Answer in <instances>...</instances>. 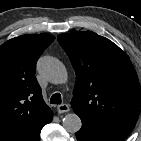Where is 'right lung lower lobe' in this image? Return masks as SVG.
Wrapping results in <instances>:
<instances>
[{"label":"right lung lower lobe","mask_w":141,"mask_h":141,"mask_svg":"<svg viewBox=\"0 0 141 141\" xmlns=\"http://www.w3.org/2000/svg\"><path fill=\"white\" fill-rule=\"evenodd\" d=\"M35 141H40V137L38 139H36Z\"/></svg>","instance_id":"1"}]
</instances>
